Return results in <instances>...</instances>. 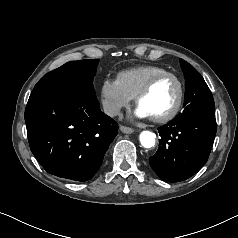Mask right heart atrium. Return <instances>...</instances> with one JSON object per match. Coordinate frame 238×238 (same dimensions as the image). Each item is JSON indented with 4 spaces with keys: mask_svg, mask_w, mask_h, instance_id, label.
<instances>
[{
    "mask_svg": "<svg viewBox=\"0 0 238 238\" xmlns=\"http://www.w3.org/2000/svg\"><path fill=\"white\" fill-rule=\"evenodd\" d=\"M100 95L103 109L111 117L117 116L132 99L124 92L117 79L112 78H106L102 82Z\"/></svg>",
    "mask_w": 238,
    "mask_h": 238,
    "instance_id": "obj_1",
    "label": "right heart atrium"
}]
</instances>
